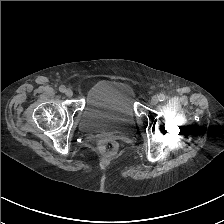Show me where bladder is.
<instances>
[{
	"label": "bladder",
	"mask_w": 224,
	"mask_h": 224,
	"mask_svg": "<svg viewBox=\"0 0 224 224\" xmlns=\"http://www.w3.org/2000/svg\"><path fill=\"white\" fill-rule=\"evenodd\" d=\"M135 117L131 94L127 87L114 79L96 82L85 98L79 130L86 135H130Z\"/></svg>",
	"instance_id": "31cf9c89"
}]
</instances>
